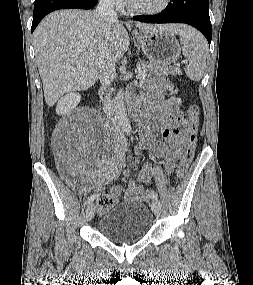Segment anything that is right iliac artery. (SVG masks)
<instances>
[{"instance_id":"1","label":"right iliac artery","mask_w":253,"mask_h":285,"mask_svg":"<svg viewBox=\"0 0 253 285\" xmlns=\"http://www.w3.org/2000/svg\"><path fill=\"white\" fill-rule=\"evenodd\" d=\"M117 178H118V176H114L113 179L116 180ZM96 196H97V194H95V193L90 195V197H88V199L86 201V204H91L94 201Z\"/></svg>"}]
</instances>
